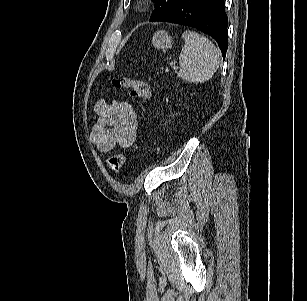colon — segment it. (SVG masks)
Returning a JSON list of instances; mask_svg holds the SVG:
<instances>
[{
    "label": "colon",
    "instance_id": "1",
    "mask_svg": "<svg viewBox=\"0 0 307 301\" xmlns=\"http://www.w3.org/2000/svg\"><path fill=\"white\" fill-rule=\"evenodd\" d=\"M112 84L116 88L129 90L130 96L135 99H148L151 96L150 85L142 79L129 77L113 78ZM126 162V155L119 153L108 159V165L114 172H118Z\"/></svg>",
    "mask_w": 307,
    "mask_h": 301
}]
</instances>
